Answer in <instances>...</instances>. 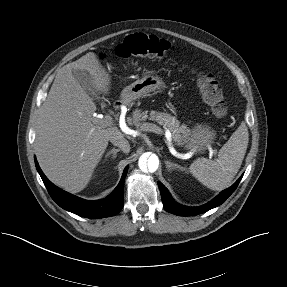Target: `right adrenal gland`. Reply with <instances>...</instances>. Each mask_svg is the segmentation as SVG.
<instances>
[{"label": "right adrenal gland", "instance_id": "obj_1", "mask_svg": "<svg viewBox=\"0 0 287 287\" xmlns=\"http://www.w3.org/2000/svg\"><path fill=\"white\" fill-rule=\"evenodd\" d=\"M120 151V149H111L107 152V154L105 155V160L112 154V158L115 159L117 157V153Z\"/></svg>", "mask_w": 287, "mask_h": 287}]
</instances>
